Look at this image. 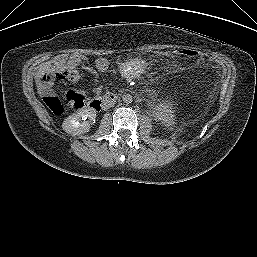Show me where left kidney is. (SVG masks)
I'll use <instances>...</instances> for the list:
<instances>
[{
  "mask_svg": "<svg viewBox=\"0 0 257 257\" xmlns=\"http://www.w3.org/2000/svg\"><path fill=\"white\" fill-rule=\"evenodd\" d=\"M156 117L166 125H172L175 121L174 111L168 104L159 105Z\"/></svg>",
  "mask_w": 257,
  "mask_h": 257,
  "instance_id": "left-kidney-1",
  "label": "left kidney"
}]
</instances>
